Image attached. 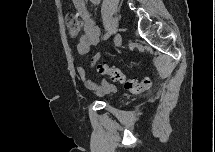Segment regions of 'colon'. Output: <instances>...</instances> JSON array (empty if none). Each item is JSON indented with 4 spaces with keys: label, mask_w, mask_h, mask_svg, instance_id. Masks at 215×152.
Masks as SVG:
<instances>
[{
    "label": "colon",
    "mask_w": 215,
    "mask_h": 152,
    "mask_svg": "<svg viewBox=\"0 0 215 152\" xmlns=\"http://www.w3.org/2000/svg\"><path fill=\"white\" fill-rule=\"evenodd\" d=\"M65 24L72 36H76L79 33L81 20L77 15L72 13L67 14L65 17ZM92 66L95 68L97 73L110 76L112 80L122 83L129 93L139 94L149 90L152 86V81L149 78H146L141 82L135 79H130L126 77L122 71L113 68L106 63H93Z\"/></svg>",
    "instance_id": "colon-1"
}]
</instances>
